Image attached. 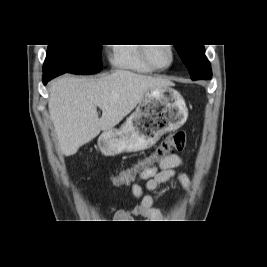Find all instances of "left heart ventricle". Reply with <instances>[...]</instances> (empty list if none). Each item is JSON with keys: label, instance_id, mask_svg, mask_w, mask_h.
<instances>
[{"label": "left heart ventricle", "instance_id": "b2bd125f", "mask_svg": "<svg viewBox=\"0 0 267 267\" xmlns=\"http://www.w3.org/2000/svg\"><path fill=\"white\" fill-rule=\"evenodd\" d=\"M152 57L156 64L166 66L170 61V52L165 46H156L152 50Z\"/></svg>", "mask_w": 267, "mask_h": 267}]
</instances>
